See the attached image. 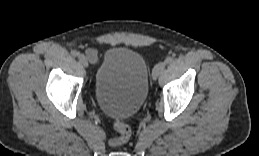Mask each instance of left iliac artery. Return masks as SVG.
<instances>
[{"label":"left iliac artery","instance_id":"1","mask_svg":"<svg viewBox=\"0 0 259 156\" xmlns=\"http://www.w3.org/2000/svg\"><path fill=\"white\" fill-rule=\"evenodd\" d=\"M173 61V58L172 57H167L164 61L165 64H169Z\"/></svg>","mask_w":259,"mask_h":156}]
</instances>
